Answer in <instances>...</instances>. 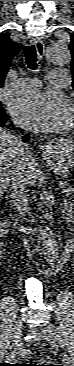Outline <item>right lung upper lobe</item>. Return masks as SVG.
I'll list each match as a JSON object with an SVG mask.
<instances>
[{"label": "right lung upper lobe", "mask_w": 74, "mask_h": 366, "mask_svg": "<svg viewBox=\"0 0 74 366\" xmlns=\"http://www.w3.org/2000/svg\"><path fill=\"white\" fill-rule=\"evenodd\" d=\"M18 51L17 43L12 41L8 34H0V87L4 84L10 63Z\"/></svg>", "instance_id": "1"}]
</instances>
